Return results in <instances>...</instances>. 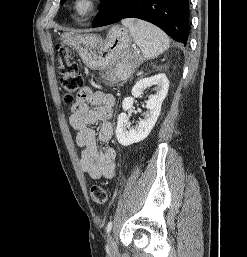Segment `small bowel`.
<instances>
[{"mask_svg": "<svg viewBox=\"0 0 247 257\" xmlns=\"http://www.w3.org/2000/svg\"><path fill=\"white\" fill-rule=\"evenodd\" d=\"M114 103L111 94L83 87L71 106L69 123L76 131V143L82 149L80 165L83 172L94 180L112 179L115 175V148L98 147V142L108 143L113 136L110 120ZM95 123L100 124L97 131L92 128Z\"/></svg>", "mask_w": 247, "mask_h": 257, "instance_id": "small-bowel-1", "label": "small bowel"}]
</instances>
